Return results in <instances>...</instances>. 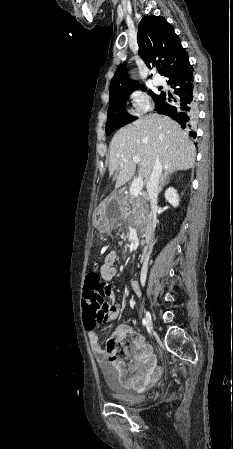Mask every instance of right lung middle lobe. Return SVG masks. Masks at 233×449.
<instances>
[{"mask_svg": "<svg viewBox=\"0 0 233 449\" xmlns=\"http://www.w3.org/2000/svg\"><path fill=\"white\" fill-rule=\"evenodd\" d=\"M142 90L145 91L146 89L142 87ZM132 92L133 91H130L110 98L108 118L106 123V135H110L115 129L124 126L136 119V117L128 114L125 109L126 101L128 100ZM148 94L151 95L153 101L155 102V105L162 96V93L155 94L151 91H148Z\"/></svg>", "mask_w": 233, "mask_h": 449, "instance_id": "right-lung-middle-lobe-1", "label": "right lung middle lobe"}]
</instances>
